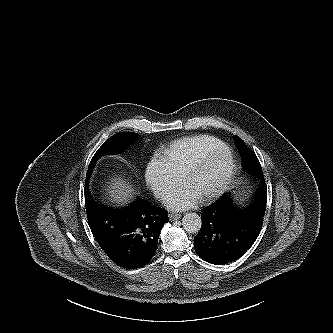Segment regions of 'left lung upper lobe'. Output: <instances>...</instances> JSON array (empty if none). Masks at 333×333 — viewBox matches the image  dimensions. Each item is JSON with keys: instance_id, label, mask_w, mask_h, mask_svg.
<instances>
[{"instance_id": "1", "label": "left lung upper lobe", "mask_w": 333, "mask_h": 333, "mask_svg": "<svg viewBox=\"0 0 333 333\" xmlns=\"http://www.w3.org/2000/svg\"><path fill=\"white\" fill-rule=\"evenodd\" d=\"M234 141L241 155L242 163L252 174L261 179L263 177V172L255 152L249 149L244 141L238 136H234Z\"/></svg>"}]
</instances>
